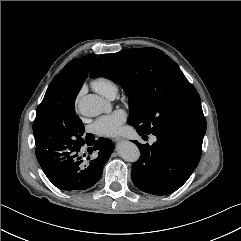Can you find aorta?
Instances as JSON below:
<instances>
[{"mask_svg":"<svg viewBox=\"0 0 241 241\" xmlns=\"http://www.w3.org/2000/svg\"><path fill=\"white\" fill-rule=\"evenodd\" d=\"M77 107L83 116L95 117L106 111L109 103L98 95L87 94L78 99ZM117 152L127 162H136L140 157L139 148L130 141L119 143L117 145Z\"/></svg>","mask_w":241,"mask_h":241,"instance_id":"1","label":"aorta"}]
</instances>
